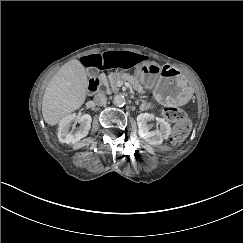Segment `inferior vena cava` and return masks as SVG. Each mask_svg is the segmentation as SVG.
<instances>
[{
    "mask_svg": "<svg viewBox=\"0 0 243 243\" xmlns=\"http://www.w3.org/2000/svg\"><path fill=\"white\" fill-rule=\"evenodd\" d=\"M94 102L96 103V105L104 106L107 103V97L104 94H97L94 97Z\"/></svg>",
    "mask_w": 243,
    "mask_h": 243,
    "instance_id": "obj_1",
    "label": "inferior vena cava"
}]
</instances>
